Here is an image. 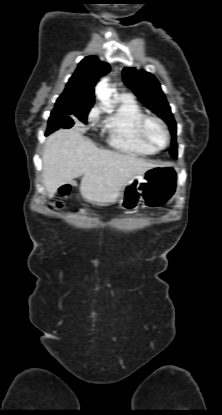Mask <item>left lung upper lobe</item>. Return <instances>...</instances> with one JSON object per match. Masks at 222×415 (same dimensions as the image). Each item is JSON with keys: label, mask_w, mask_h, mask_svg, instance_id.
<instances>
[{"label": "left lung upper lobe", "mask_w": 222, "mask_h": 415, "mask_svg": "<svg viewBox=\"0 0 222 415\" xmlns=\"http://www.w3.org/2000/svg\"><path fill=\"white\" fill-rule=\"evenodd\" d=\"M123 80L145 106L168 124L172 135L170 154L173 158H177L176 123L155 76L144 70L138 71L134 68L126 67L123 70Z\"/></svg>", "instance_id": "left-lung-upper-lobe-1"}]
</instances>
